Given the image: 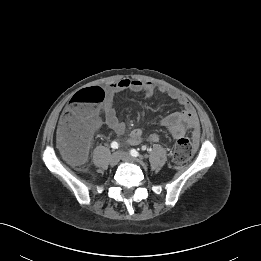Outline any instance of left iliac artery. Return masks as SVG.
Listing matches in <instances>:
<instances>
[{"label": "left iliac artery", "mask_w": 261, "mask_h": 261, "mask_svg": "<svg viewBox=\"0 0 261 261\" xmlns=\"http://www.w3.org/2000/svg\"><path fill=\"white\" fill-rule=\"evenodd\" d=\"M130 154H131L133 157H139V156H140L139 153H138V151H136L135 149H131V150H130Z\"/></svg>", "instance_id": "left-iliac-artery-1"}]
</instances>
